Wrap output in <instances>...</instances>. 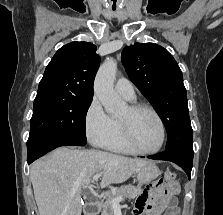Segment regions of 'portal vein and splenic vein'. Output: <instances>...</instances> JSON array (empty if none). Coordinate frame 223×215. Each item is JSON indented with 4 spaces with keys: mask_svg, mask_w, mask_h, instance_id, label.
<instances>
[{
    "mask_svg": "<svg viewBox=\"0 0 223 215\" xmlns=\"http://www.w3.org/2000/svg\"><path fill=\"white\" fill-rule=\"evenodd\" d=\"M101 175H102V173H96V175H93L92 181H97V179H99V177H101ZM119 201H121V197H113V199H111V205H112V207H114V209H120L121 205H120Z\"/></svg>",
    "mask_w": 223,
    "mask_h": 215,
    "instance_id": "portal-vein-and-splenic-vein-1",
    "label": "portal vein and splenic vein"
}]
</instances>
